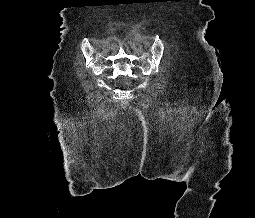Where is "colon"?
<instances>
[{
    "mask_svg": "<svg viewBox=\"0 0 255 218\" xmlns=\"http://www.w3.org/2000/svg\"><path fill=\"white\" fill-rule=\"evenodd\" d=\"M126 84H130V80L127 79V80H126Z\"/></svg>",
    "mask_w": 255,
    "mask_h": 218,
    "instance_id": "colon-1",
    "label": "colon"
}]
</instances>
